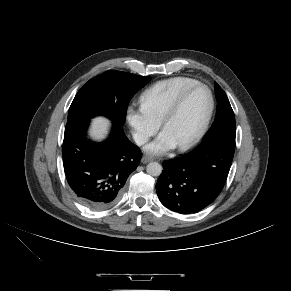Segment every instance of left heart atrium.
I'll use <instances>...</instances> for the list:
<instances>
[{
	"instance_id": "39dd6f15",
	"label": "left heart atrium",
	"mask_w": 291,
	"mask_h": 291,
	"mask_svg": "<svg viewBox=\"0 0 291 291\" xmlns=\"http://www.w3.org/2000/svg\"><path fill=\"white\" fill-rule=\"evenodd\" d=\"M177 146L176 142L172 137L165 131L161 132L160 135L149 145L146 146V152L150 154H163Z\"/></svg>"
}]
</instances>
